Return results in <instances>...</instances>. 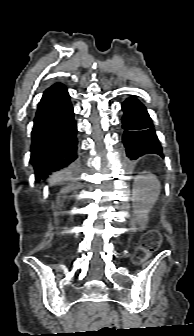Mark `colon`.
Here are the masks:
<instances>
[{
  "label": "colon",
  "mask_w": 194,
  "mask_h": 336,
  "mask_svg": "<svg viewBox=\"0 0 194 336\" xmlns=\"http://www.w3.org/2000/svg\"><path fill=\"white\" fill-rule=\"evenodd\" d=\"M161 239L160 236L156 233H148L145 237L144 243L141 247L137 248L134 251V258L137 260H142L148 257L153 252L157 251L160 247ZM111 325L116 326L120 321V315L117 312H112L110 314ZM110 327H106L104 329H109Z\"/></svg>",
  "instance_id": "colon-1"
}]
</instances>
